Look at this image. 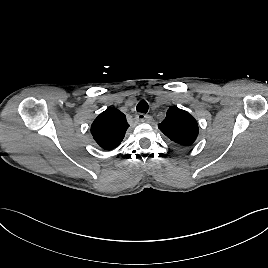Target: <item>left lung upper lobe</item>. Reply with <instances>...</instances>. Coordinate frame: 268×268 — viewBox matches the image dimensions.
Returning a JSON list of instances; mask_svg holds the SVG:
<instances>
[{
    "mask_svg": "<svg viewBox=\"0 0 268 268\" xmlns=\"http://www.w3.org/2000/svg\"><path fill=\"white\" fill-rule=\"evenodd\" d=\"M158 128L176 145L189 147L198 137V123L187 111L171 106Z\"/></svg>",
    "mask_w": 268,
    "mask_h": 268,
    "instance_id": "left-lung-upper-lobe-1",
    "label": "left lung upper lobe"
}]
</instances>
